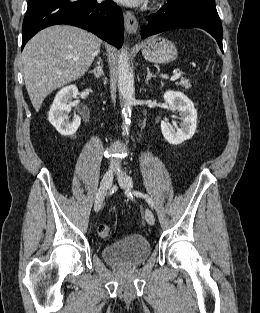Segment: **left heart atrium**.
Returning a JSON list of instances; mask_svg holds the SVG:
<instances>
[{"label": "left heart atrium", "instance_id": "obj_1", "mask_svg": "<svg viewBox=\"0 0 260 313\" xmlns=\"http://www.w3.org/2000/svg\"><path fill=\"white\" fill-rule=\"evenodd\" d=\"M118 1H120L124 5L138 6V5L142 4L145 0H118Z\"/></svg>", "mask_w": 260, "mask_h": 313}]
</instances>
